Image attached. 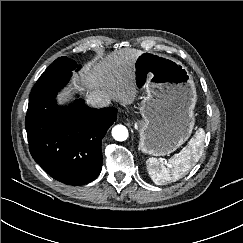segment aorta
<instances>
[{
  "instance_id": "1",
  "label": "aorta",
  "mask_w": 243,
  "mask_h": 243,
  "mask_svg": "<svg viewBox=\"0 0 243 243\" xmlns=\"http://www.w3.org/2000/svg\"><path fill=\"white\" fill-rule=\"evenodd\" d=\"M112 136L117 141H125L128 136V129L123 125H116L112 129Z\"/></svg>"
}]
</instances>
